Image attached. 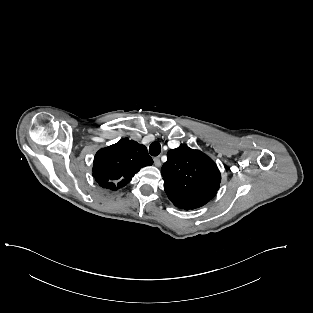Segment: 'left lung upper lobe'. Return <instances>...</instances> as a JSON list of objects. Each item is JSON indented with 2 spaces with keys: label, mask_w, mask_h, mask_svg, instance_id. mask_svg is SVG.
<instances>
[{
  "label": "left lung upper lobe",
  "mask_w": 313,
  "mask_h": 313,
  "mask_svg": "<svg viewBox=\"0 0 313 313\" xmlns=\"http://www.w3.org/2000/svg\"><path fill=\"white\" fill-rule=\"evenodd\" d=\"M161 168L164 189L178 208H199L217 193L221 174L215 162L199 150L181 144L167 153Z\"/></svg>",
  "instance_id": "obj_1"
}]
</instances>
